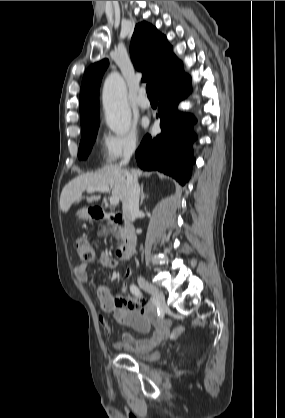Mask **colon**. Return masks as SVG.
Segmentation results:
<instances>
[{
  "mask_svg": "<svg viewBox=\"0 0 285 418\" xmlns=\"http://www.w3.org/2000/svg\"><path fill=\"white\" fill-rule=\"evenodd\" d=\"M75 250L79 261L87 263L91 261L96 254L95 247L89 237L80 236L75 240ZM186 327L183 324L176 326L168 335V339L177 340L185 331Z\"/></svg>",
  "mask_w": 285,
  "mask_h": 418,
  "instance_id": "colon-1",
  "label": "colon"
}]
</instances>
